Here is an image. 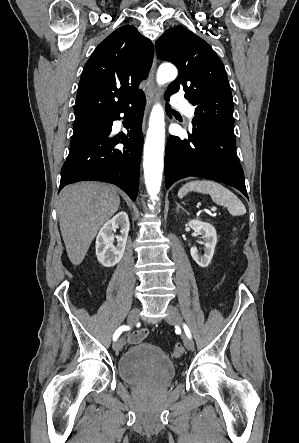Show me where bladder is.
Masks as SVG:
<instances>
[{"label": "bladder", "mask_w": 299, "mask_h": 443, "mask_svg": "<svg viewBox=\"0 0 299 443\" xmlns=\"http://www.w3.org/2000/svg\"><path fill=\"white\" fill-rule=\"evenodd\" d=\"M117 372L129 385H163L176 374L172 360L156 345L139 343L129 348L119 359Z\"/></svg>", "instance_id": "1"}]
</instances>
